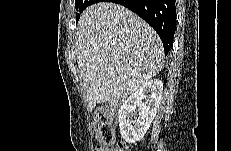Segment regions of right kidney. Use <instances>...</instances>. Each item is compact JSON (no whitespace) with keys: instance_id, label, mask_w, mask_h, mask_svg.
I'll return each mask as SVG.
<instances>
[{"instance_id":"right-kidney-1","label":"right kidney","mask_w":231,"mask_h":151,"mask_svg":"<svg viewBox=\"0 0 231 151\" xmlns=\"http://www.w3.org/2000/svg\"><path fill=\"white\" fill-rule=\"evenodd\" d=\"M162 90V81L149 80L121 105L118 111V121L121 136L127 143H136L146 134L159 108ZM143 99L145 102L142 101ZM136 108L139 109V114L133 120Z\"/></svg>"}]
</instances>
